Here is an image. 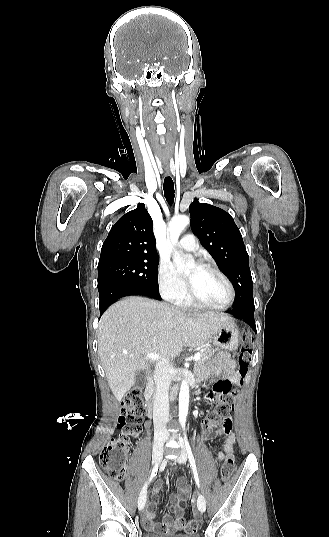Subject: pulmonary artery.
<instances>
[{
  "mask_svg": "<svg viewBox=\"0 0 329 537\" xmlns=\"http://www.w3.org/2000/svg\"><path fill=\"white\" fill-rule=\"evenodd\" d=\"M178 246L186 251H196L199 245L193 234H187L181 238Z\"/></svg>",
  "mask_w": 329,
  "mask_h": 537,
  "instance_id": "1",
  "label": "pulmonary artery"
}]
</instances>
